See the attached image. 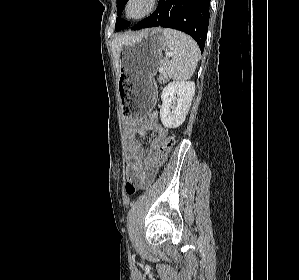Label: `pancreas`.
<instances>
[{
    "label": "pancreas",
    "mask_w": 299,
    "mask_h": 280,
    "mask_svg": "<svg viewBox=\"0 0 299 280\" xmlns=\"http://www.w3.org/2000/svg\"><path fill=\"white\" fill-rule=\"evenodd\" d=\"M166 80H167L166 72L164 71V72H162V73L159 75V77H158V81H159L160 83H164Z\"/></svg>",
    "instance_id": "1"
}]
</instances>
